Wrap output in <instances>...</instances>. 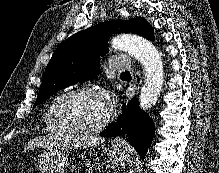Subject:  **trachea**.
<instances>
[{
	"label": "trachea",
	"mask_w": 219,
	"mask_h": 173,
	"mask_svg": "<svg viewBox=\"0 0 219 173\" xmlns=\"http://www.w3.org/2000/svg\"><path fill=\"white\" fill-rule=\"evenodd\" d=\"M122 75H130V72L128 71V72H124V73H122Z\"/></svg>",
	"instance_id": "obj_1"
}]
</instances>
